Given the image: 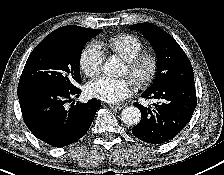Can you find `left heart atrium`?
<instances>
[{
	"instance_id": "obj_1",
	"label": "left heart atrium",
	"mask_w": 224,
	"mask_h": 175,
	"mask_svg": "<svg viewBox=\"0 0 224 175\" xmlns=\"http://www.w3.org/2000/svg\"><path fill=\"white\" fill-rule=\"evenodd\" d=\"M87 91L92 97L114 103L131 96L134 91V84L128 77L103 76L90 82Z\"/></svg>"
}]
</instances>
